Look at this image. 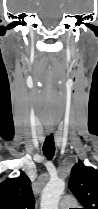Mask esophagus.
<instances>
[{
  "label": "esophagus",
  "mask_w": 98,
  "mask_h": 209,
  "mask_svg": "<svg viewBox=\"0 0 98 209\" xmlns=\"http://www.w3.org/2000/svg\"><path fill=\"white\" fill-rule=\"evenodd\" d=\"M46 132H47L48 134H51V133H52V128L46 127Z\"/></svg>",
  "instance_id": "34e87169"
}]
</instances>
